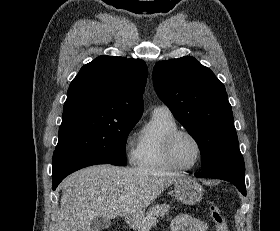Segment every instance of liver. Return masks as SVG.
Here are the masks:
<instances>
[{"instance_id":"6515ba94","label":"liver","mask_w":280,"mask_h":231,"mask_svg":"<svg viewBox=\"0 0 280 231\" xmlns=\"http://www.w3.org/2000/svg\"><path fill=\"white\" fill-rule=\"evenodd\" d=\"M182 177L181 173H156L143 167L90 165L65 177L55 231H90V223L102 215L107 219L144 217L156 197ZM124 199V201H119Z\"/></svg>"}]
</instances>
